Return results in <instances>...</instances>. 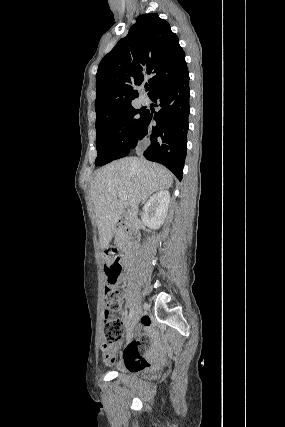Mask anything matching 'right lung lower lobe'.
<instances>
[{"label":"right lung lower lobe","instance_id":"obj_1","mask_svg":"<svg viewBox=\"0 0 285 427\" xmlns=\"http://www.w3.org/2000/svg\"><path fill=\"white\" fill-rule=\"evenodd\" d=\"M150 98L159 101L160 109L154 115L146 112L138 146L148 139L144 151L146 159L166 166L181 180L190 113L188 70L176 81L155 91ZM152 119L157 123L155 126H151Z\"/></svg>","mask_w":285,"mask_h":427}]
</instances>
